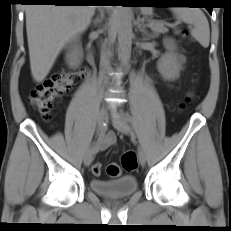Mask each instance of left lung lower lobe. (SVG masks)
<instances>
[{
	"label": "left lung lower lobe",
	"instance_id": "obj_1",
	"mask_svg": "<svg viewBox=\"0 0 231 231\" xmlns=\"http://www.w3.org/2000/svg\"><path fill=\"white\" fill-rule=\"evenodd\" d=\"M210 14H212V7H206Z\"/></svg>",
	"mask_w": 231,
	"mask_h": 231
}]
</instances>
